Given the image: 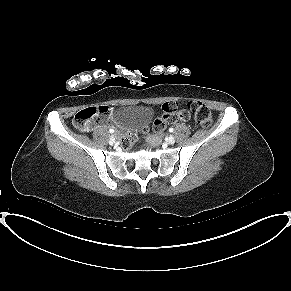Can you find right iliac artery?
<instances>
[{
  "label": "right iliac artery",
  "mask_w": 291,
  "mask_h": 291,
  "mask_svg": "<svg viewBox=\"0 0 291 291\" xmlns=\"http://www.w3.org/2000/svg\"><path fill=\"white\" fill-rule=\"evenodd\" d=\"M109 132H110V133H114V130H113V129H110Z\"/></svg>",
  "instance_id": "82829eb1"
}]
</instances>
